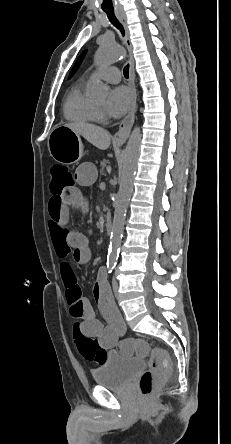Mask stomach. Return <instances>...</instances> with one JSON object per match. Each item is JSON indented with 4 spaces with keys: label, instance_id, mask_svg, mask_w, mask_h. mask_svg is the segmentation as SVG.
Listing matches in <instances>:
<instances>
[{
    "label": "stomach",
    "instance_id": "0dacf381",
    "mask_svg": "<svg viewBox=\"0 0 231 444\" xmlns=\"http://www.w3.org/2000/svg\"><path fill=\"white\" fill-rule=\"evenodd\" d=\"M48 149L54 160L63 164L75 163L83 156L80 136L66 126H57L52 130Z\"/></svg>",
    "mask_w": 231,
    "mask_h": 444
}]
</instances>
